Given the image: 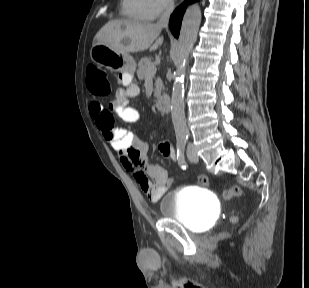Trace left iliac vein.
<instances>
[{
    "instance_id": "left-iliac-vein-1",
    "label": "left iliac vein",
    "mask_w": 309,
    "mask_h": 288,
    "mask_svg": "<svg viewBox=\"0 0 309 288\" xmlns=\"http://www.w3.org/2000/svg\"><path fill=\"white\" fill-rule=\"evenodd\" d=\"M187 156H188V159L191 161V162H197L198 161V156L196 155L194 149L190 146L189 147V150L187 152Z\"/></svg>"
}]
</instances>
